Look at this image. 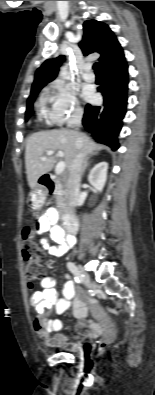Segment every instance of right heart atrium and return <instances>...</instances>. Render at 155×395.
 <instances>
[{
  "label": "right heart atrium",
  "mask_w": 155,
  "mask_h": 395,
  "mask_svg": "<svg viewBox=\"0 0 155 395\" xmlns=\"http://www.w3.org/2000/svg\"><path fill=\"white\" fill-rule=\"evenodd\" d=\"M47 118L54 126L70 125L82 116L75 89L64 81H55L47 89Z\"/></svg>",
  "instance_id": "1"
}]
</instances>
